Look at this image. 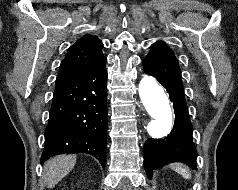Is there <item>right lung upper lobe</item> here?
<instances>
[{
    "instance_id": "1",
    "label": "right lung upper lobe",
    "mask_w": 238,
    "mask_h": 190,
    "mask_svg": "<svg viewBox=\"0 0 238 190\" xmlns=\"http://www.w3.org/2000/svg\"><path fill=\"white\" fill-rule=\"evenodd\" d=\"M102 47V42L96 36L85 35L78 39L61 62L56 87L88 73L106 60Z\"/></svg>"
}]
</instances>
